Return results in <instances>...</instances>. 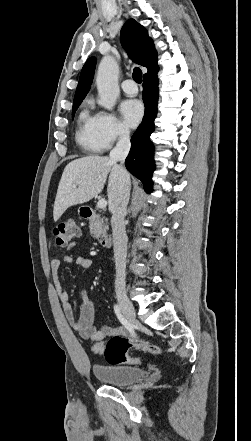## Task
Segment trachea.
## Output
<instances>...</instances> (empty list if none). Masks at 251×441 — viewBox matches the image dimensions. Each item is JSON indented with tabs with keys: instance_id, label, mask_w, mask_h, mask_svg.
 Returning a JSON list of instances; mask_svg holds the SVG:
<instances>
[{
	"instance_id": "3493384b",
	"label": "trachea",
	"mask_w": 251,
	"mask_h": 441,
	"mask_svg": "<svg viewBox=\"0 0 251 441\" xmlns=\"http://www.w3.org/2000/svg\"><path fill=\"white\" fill-rule=\"evenodd\" d=\"M133 79L137 83H141L142 82V71L138 67L134 68Z\"/></svg>"
}]
</instances>
